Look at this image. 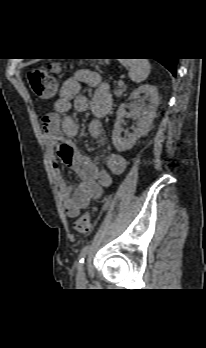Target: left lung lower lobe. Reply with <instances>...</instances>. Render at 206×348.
<instances>
[{
	"instance_id": "0a47b994",
	"label": "left lung lower lobe",
	"mask_w": 206,
	"mask_h": 348,
	"mask_svg": "<svg viewBox=\"0 0 206 348\" xmlns=\"http://www.w3.org/2000/svg\"><path fill=\"white\" fill-rule=\"evenodd\" d=\"M155 60H157L163 66H165L173 74V76H176V65L178 61L177 58L155 59Z\"/></svg>"
}]
</instances>
